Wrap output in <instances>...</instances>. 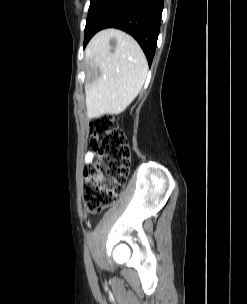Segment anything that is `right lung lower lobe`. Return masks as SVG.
Here are the masks:
<instances>
[{
    "instance_id": "obj_1",
    "label": "right lung lower lobe",
    "mask_w": 247,
    "mask_h": 304,
    "mask_svg": "<svg viewBox=\"0 0 247 304\" xmlns=\"http://www.w3.org/2000/svg\"><path fill=\"white\" fill-rule=\"evenodd\" d=\"M163 0H97L88 13L84 47L104 28H119L132 35L151 65L160 30Z\"/></svg>"
}]
</instances>
